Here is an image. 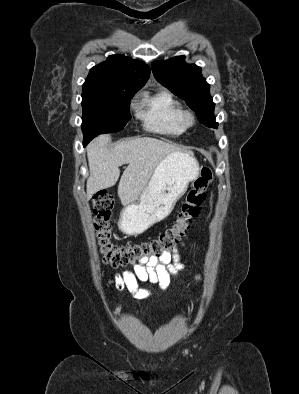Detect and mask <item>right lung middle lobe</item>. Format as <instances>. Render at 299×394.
I'll return each instance as SVG.
<instances>
[{"instance_id":"right-lung-middle-lobe-1","label":"right lung middle lobe","mask_w":299,"mask_h":394,"mask_svg":"<svg viewBox=\"0 0 299 394\" xmlns=\"http://www.w3.org/2000/svg\"><path fill=\"white\" fill-rule=\"evenodd\" d=\"M137 91L115 90L82 93L84 142L101 133L117 132L131 119L130 99Z\"/></svg>"}]
</instances>
